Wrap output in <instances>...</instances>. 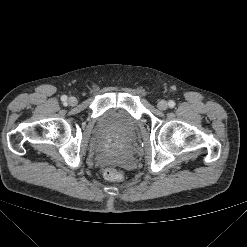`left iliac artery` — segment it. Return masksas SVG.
<instances>
[{
  "label": "left iliac artery",
  "instance_id": "left-iliac-artery-1",
  "mask_svg": "<svg viewBox=\"0 0 247 247\" xmlns=\"http://www.w3.org/2000/svg\"><path fill=\"white\" fill-rule=\"evenodd\" d=\"M168 105H169L170 108H173L175 106V102L173 100H170L168 102Z\"/></svg>",
  "mask_w": 247,
  "mask_h": 247
}]
</instances>
